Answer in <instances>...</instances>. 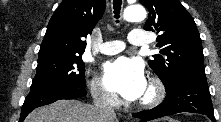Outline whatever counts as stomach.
<instances>
[{"instance_id":"0dacf381","label":"stomach","mask_w":221,"mask_h":122,"mask_svg":"<svg viewBox=\"0 0 221 122\" xmlns=\"http://www.w3.org/2000/svg\"><path fill=\"white\" fill-rule=\"evenodd\" d=\"M163 121H168V122H177V121H175V120H173V119H170V118H166V119H159V120H157V122H163Z\"/></svg>"}]
</instances>
